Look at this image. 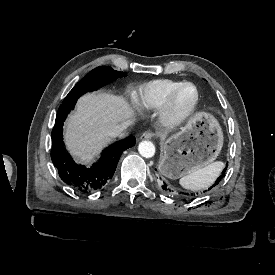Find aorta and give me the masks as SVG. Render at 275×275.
I'll return each instance as SVG.
<instances>
[{"label": "aorta", "instance_id": "1", "mask_svg": "<svg viewBox=\"0 0 275 275\" xmlns=\"http://www.w3.org/2000/svg\"><path fill=\"white\" fill-rule=\"evenodd\" d=\"M138 151L141 156L151 158L155 155V146L151 141L144 140L139 143Z\"/></svg>", "mask_w": 275, "mask_h": 275}]
</instances>
